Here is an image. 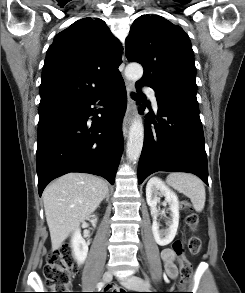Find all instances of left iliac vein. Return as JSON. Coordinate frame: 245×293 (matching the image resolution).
Instances as JSON below:
<instances>
[{
  "instance_id": "4c4485c4",
  "label": "left iliac vein",
  "mask_w": 245,
  "mask_h": 293,
  "mask_svg": "<svg viewBox=\"0 0 245 293\" xmlns=\"http://www.w3.org/2000/svg\"><path fill=\"white\" fill-rule=\"evenodd\" d=\"M120 282H121V285H123L124 287L128 289H142L145 285L150 287L149 282H145L141 278L134 275H131L125 279H122Z\"/></svg>"
}]
</instances>
